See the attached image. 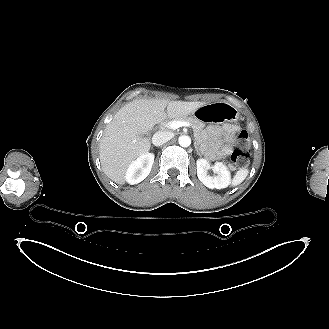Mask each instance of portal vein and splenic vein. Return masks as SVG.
I'll use <instances>...</instances> for the list:
<instances>
[{"label":"portal vein and splenic vein","mask_w":329,"mask_h":329,"mask_svg":"<svg viewBox=\"0 0 329 329\" xmlns=\"http://www.w3.org/2000/svg\"><path fill=\"white\" fill-rule=\"evenodd\" d=\"M170 129H178L180 127H190V123L189 122H185V121H172L169 125Z\"/></svg>","instance_id":"obj_1"}]
</instances>
